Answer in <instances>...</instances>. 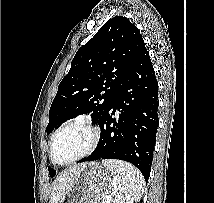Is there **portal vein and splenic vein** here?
<instances>
[{
	"label": "portal vein and splenic vein",
	"instance_id": "obj_1",
	"mask_svg": "<svg viewBox=\"0 0 214 203\" xmlns=\"http://www.w3.org/2000/svg\"><path fill=\"white\" fill-rule=\"evenodd\" d=\"M106 201H109V200H113V197L111 196V195H108V196H106V199H105Z\"/></svg>",
	"mask_w": 214,
	"mask_h": 203
}]
</instances>
